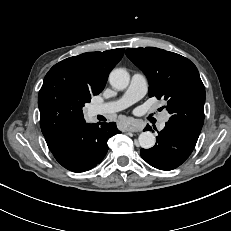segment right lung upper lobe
I'll use <instances>...</instances> for the list:
<instances>
[{
	"instance_id": "1",
	"label": "right lung upper lobe",
	"mask_w": 231,
	"mask_h": 231,
	"mask_svg": "<svg viewBox=\"0 0 231 231\" xmlns=\"http://www.w3.org/2000/svg\"><path fill=\"white\" fill-rule=\"evenodd\" d=\"M124 49L87 52L54 65L38 96L40 126L48 147L67 131L85 123L82 107L105 87Z\"/></svg>"
}]
</instances>
